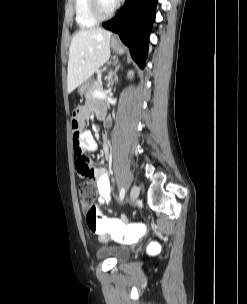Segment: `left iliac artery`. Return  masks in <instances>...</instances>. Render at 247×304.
<instances>
[{
    "label": "left iliac artery",
    "mask_w": 247,
    "mask_h": 304,
    "mask_svg": "<svg viewBox=\"0 0 247 304\" xmlns=\"http://www.w3.org/2000/svg\"><path fill=\"white\" fill-rule=\"evenodd\" d=\"M124 196H125V188L122 187L120 190V195H119L120 201H123Z\"/></svg>",
    "instance_id": "44dca946"
}]
</instances>
